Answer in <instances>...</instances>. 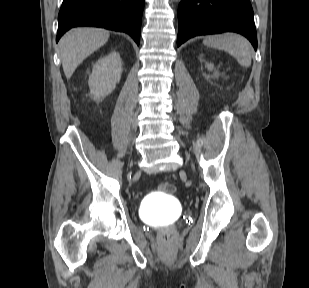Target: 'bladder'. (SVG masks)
Instances as JSON below:
<instances>
[{"label":"bladder","mask_w":309,"mask_h":288,"mask_svg":"<svg viewBox=\"0 0 309 288\" xmlns=\"http://www.w3.org/2000/svg\"><path fill=\"white\" fill-rule=\"evenodd\" d=\"M141 213L145 221L160 224L175 219L179 213V207L171 194L164 193L162 196L147 197Z\"/></svg>","instance_id":"bladder-1"}]
</instances>
